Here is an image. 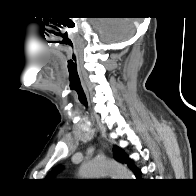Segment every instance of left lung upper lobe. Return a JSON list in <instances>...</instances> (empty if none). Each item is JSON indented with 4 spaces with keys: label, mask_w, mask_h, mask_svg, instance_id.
<instances>
[{
    "label": "left lung upper lobe",
    "mask_w": 196,
    "mask_h": 196,
    "mask_svg": "<svg viewBox=\"0 0 196 196\" xmlns=\"http://www.w3.org/2000/svg\"><path fill=\"white\" fill-rule=\"evenodd\" d=\"M113 152H114V157L116 160L127 164L130 168L133 165L132 161L130 158H128V156L124 153V151L122 149H120L117 146H114L113 148ZM61 167H56L54 168L46 177V179H51L59 170Z\"/></svg>",
    "instance_id": "1"
}]
</instances>
